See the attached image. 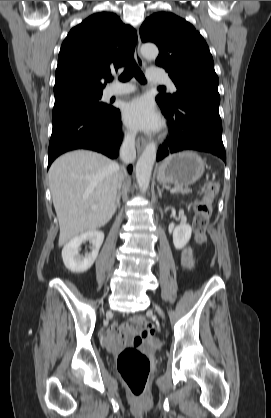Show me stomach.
Masks as SVG:
<instances>
[{
    "instance_id": "obj_1",
    "label": "stomach",
    "mask_w": 271,
    "mask_h": 418,
    "mask_svg": "<svg viewBox=\"0 0 271 418\" xmlns=\"http://www.w3.org/2000/svg\"><path fill=\"white\" fill-rule=\"evenodd\" d=\"M205 163L195 152L184 151L168 156L159 166L157 180L161 184L188 186L198 181Z\"/></svg>"
}]
</instances>
